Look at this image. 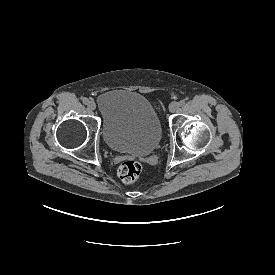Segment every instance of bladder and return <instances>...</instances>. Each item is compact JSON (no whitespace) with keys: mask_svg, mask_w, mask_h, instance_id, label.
Returning a JSON list of instances; mask_svg holds the SVG:
<instances>
[{"mask_svg":"<svg viewBox=\"0 0 275 275\" xmlns=\"http://www.w3.org/2000/svg\"><path fill=\"white\" fill-rule=\"evenodd\" d=\"M102 134L109 148L138 156L149 155L161 137V122L146 98L127 90H113L97 98Z\"/></svg>","mask_w":275,"mask_h":275,"instance_id":"31cf9c89","label":"bladder"}]
</instances>
